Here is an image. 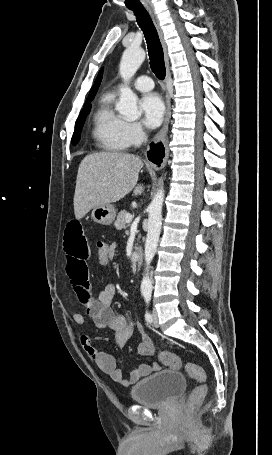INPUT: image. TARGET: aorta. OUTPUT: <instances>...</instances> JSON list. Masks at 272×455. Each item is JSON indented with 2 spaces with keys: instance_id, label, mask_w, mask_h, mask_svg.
Wrapping results in <instances>:
<instances>
[{
  "instance_id": "aorta-1",
  "label": "aorta",
  "mask_w": 272,
  "mask_h": 455,
  "mask_svg": "<svg viewBox=\"0 0 272 455\" xmlns=\"http://www.w3.org/2000/svg\"><path fill=\"white\" fill-rule=\"evenodd\" d=\"M145 51L142 48L128 47L121 58L119 73L125 83L120 89V99L116 105L118 112L126 119L134 121L141 116L137 106V96L128 86L129 80L134 76L140 65L145 60ZM164 190L160 189L155 194L148 206V231L145 243V275L141 282V292H152V281L149 276L150 264L155 256L162 224V207Z\"/></svg>"
}]
</instances>
